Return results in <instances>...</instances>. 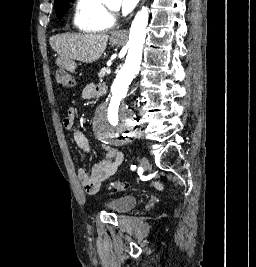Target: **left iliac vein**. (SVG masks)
Instances as JSON below:
<instances>
[{"mask_svg":"<svg viewBox=\"0 0 256 267\" xmlns=\"http://www.w3.org/2000/svg\"><path fill=\"white\" fill-rule=\"evenodd\" d=\"M139 164L143 169H146L148 166V160L146 157H141L139 160Z\"/></svg>","mask_w":256,"mask_h":267,"instance_id":"4c4485c4","label":"left iliac vein"}]
</instances>
